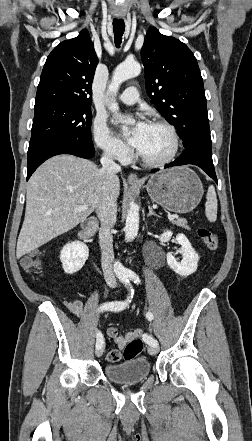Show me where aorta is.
Here are the masks:
<instances>
[{"label": "aorta", "mask_w": 252, "mask_h": 441, "mask_svg": "<svg viewBox=\"0 0 252 441\" xmlns=\"http://www.w3.org/2000/svg\"><path fill=\"white\" fill-rule=\"evenodd\" d=\"M141 72V66L136 61H125L118 65L113 72L112 81L108 86L109 92L113 96L116 95L119 86L126 80L136 77ZM112 112H117L119 106L115 99H112L108 106ZM123 131H127V127H123ZM139 229V210L134 202L130 203V208L127 212L125 223V240L127 242L132 241L138 233ZM115 273L119 277H126L128 275V269L125 268L120 261H116L113 265Z\"/></svg>", "instance_id": "1"}]
</instances>
